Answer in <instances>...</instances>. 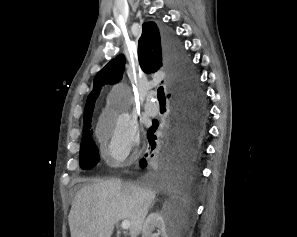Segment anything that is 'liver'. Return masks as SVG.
<instances>
[{
    "mask_svg": "<svg viewBox=\"0 0 297 237\" xmlns=\"http://www.w3.org/2000/svg\"><path fill=\"white\" fill-rule=\"evenodd\" d=\"M156 197L150 187L99 181L81 188L68 216L71 237H111L114 225L130 221V236L137 237Z\"/></svg>",
    "mask_w": 297,
    "mask_h": 237,
    "instance_id": "1",
    "label": "liver"
}]
</instances>
